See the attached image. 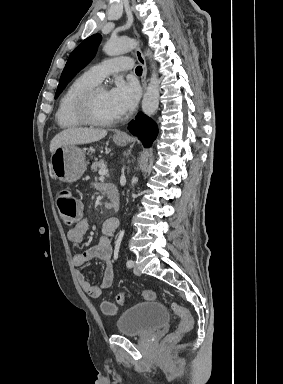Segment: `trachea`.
Wrapping results in <instances>:
<instances>
[{"mask_svg":"<svg viewBox=\"0 0 283 384\" xmlns=\"http://www.w3.org/2000/svg\"><path fill=\"white\" fill-rule=\"evenodd\" d=\"M135 73L137 75H142V67H140V65L135 69Z\"/></svg>","mask_w":283,"mask_h":384,"instance_id":"1","label":"trachea"}]
</instances>
